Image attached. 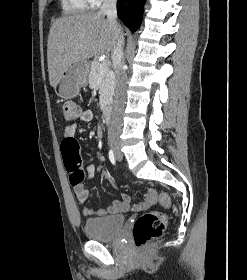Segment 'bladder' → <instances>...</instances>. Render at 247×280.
<instances>
[{"label":"bladder","mask_w":247,"mask_h":280,"mask_svg":"<svg viewBox=\"0 0 247 280\" xmlns=\"http://www.w3.org/2000/svg\"><path fill=\"white\" fill-rule=\"evenodd\" d=\"M124 223L123 215L90 218L85 221L83 230L89 239L110 242L119 237Z\"/></svg>","instance_id":"31cf9c89"}]
</instances>
